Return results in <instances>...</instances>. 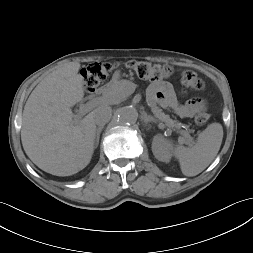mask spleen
Listing matches in <instances>:
<instances>
[{
	"label": "spleen",
	"mask_w": 253,
	"mask_h": 253,
	"mask_svg": "<svg viewBox=\"0 0 253 253\" xmlns=\"http://www.w3.org/2000/svg\"><path fill=\"white\" fill-rule=\"evenodd\" d=\"M223 139L219 123L210 124L202 131L192 147L177 145L173 150L185 176H196L205 170L216 157Z\"/></svg>",
	"instance_id": "spleen-1"
}]
</instances>
